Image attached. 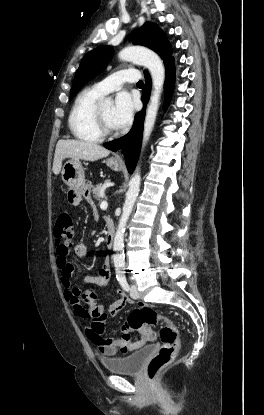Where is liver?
I'll return each instance as SVG.
<instances>
[{"instance_id":"1","label":"liver","mask_w":264,"mask_h":415,"mask_svg":"<svg viewBox=\"0 0 264 415\" xmlns=\"http://www.w3.org/2000/svg\"><path fill=\"white\" fill-rule=\"evenodd\" d=\"M109 154L110 150L93 142L70 139L59 140L55 149L52 170L55 175H58L62 168V161L65 158L96 161L107 157Z\"/></svg>"}]
</instances>
